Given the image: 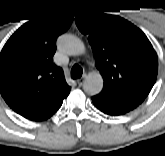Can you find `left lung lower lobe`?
Segmentation results:
<instances>
[{"label":"left lung lower lobe","mask_w":165,"mask_h":156,"mask_svg":"<svg viewBox=\"0 0 165 156\" xmlns=\"http://www.w3.org/2000/svg\"><path fill=\"white\" fill-rule=\"evenodd\" d=\"M93 104L102 112L108 115L112 116H117V115H123L127 112L128 110L122 108L121 106L109 101L107 98L101 96V95H96L92 97Z\"/></svg>","instance_id":"left-lung-lower-lobe-1"}]
</instances>
